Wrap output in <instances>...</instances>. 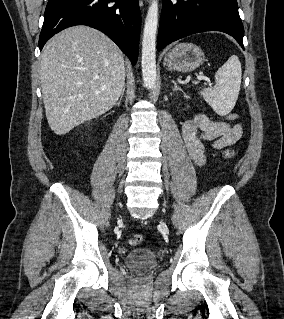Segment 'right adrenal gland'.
Listing matches in <instances>:
<instances>
[{
    "mask_svg": "<svg viewBox=\"0 0 284 319\" xmlns=\"http://www.w3.org/2000/svg\"><path fill=\"white\" fill-rule=\"evenodd\" d=\"M124 91H125V87L123 88V91H122V93H121L120 99H119V101L117 102V105H118V106H119L120 103H121V100H122L123 95H124Z\"/></svg>",
    "mask_w": 284,
    "mask_h": 319,
    "instance_id": "1",
    "label": "right adrenal gland"
}]
</instances>
